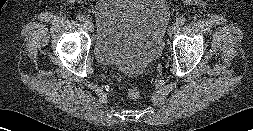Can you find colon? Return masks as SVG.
Here are the masks:
<instances>
[{
  "label": "colon",
  "instance_id": "colon-1",
  "mask_svg": "<svg viewBox=\"0 0 253 131\" xmlns=\"http://www.w3.org/2000/svg\"><path fill=\"white\" fill-rule=\"evenodd\" d=\"M127 95L131 99H136L139 97L140 91L135 85H131L127 90Z\"/></svg>",
  "mask_w": 253,
  "mask_h": 131
}]
</instances>
